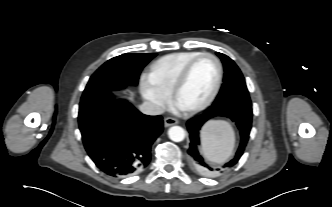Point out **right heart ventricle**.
I'll return each instance as SVG.
<instances>
[{
	"instance_id": "1",
	"label": "right heart ventricle",
	"mask_w": 332,
	"mask_h": 207,
	"mask_svg": "<svg viewBox=\"0 0 332 207\" xmlns=\"http://www.w3.org/2000/svg\"><path fill=\"white\" fill-rule=\"evenodd\" d=\"M200 53L198 51H185L165 55L151 64L146 79L154 87L170 95L182 68Z\"/></svg>"
}]
</instances>
